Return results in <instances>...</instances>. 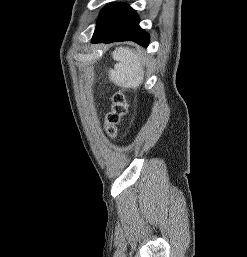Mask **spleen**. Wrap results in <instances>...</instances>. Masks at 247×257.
Listing matches in <instances>:
<instances>
[{
    "label": "spleen",
    "instance_id": "1",
    "mask_svg": "<svg viewBox=\"0 0 247 257\" xmlns=\"http://www.w3.org/2000/svg\"><path fill=\"white\" fill-rule=\"evenodd\" d=\"M113 58L118 63L114 66V69L109 70L110 81L120 87H138L144 77L140 55L129 48L119 47L113 52Z\"/></svg>",
    "mask_w": 247,
    "mask_h": 257
}]
</instances>
